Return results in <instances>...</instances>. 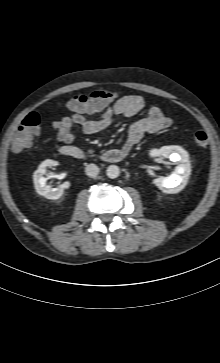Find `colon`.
<instances>
[{
    "mask_svg": "<svg viewBox=\"0 0 220 363\" xmlns=\"http://www.w3.org/2000/svg\"><path fill=\"white\" fill-rule=\"evenodd\" d=\"M119 97V93L112 90H99L89 95L77 94L69 101L72 109H80L88 98L96 100L100 105H107ZM42 122V116L37 112L29 113L20 123L17 132L12 140V149L22 151L33 143L34 138L38 135ZM194 141L197 146L205 147L208 144V135L203 131H198L194 135Z\"/></svg>",
    "mask_w": 220,
    "mask_h": 363,
    "instance_id": "obj_1",
    "label": "colon"
}]
</instances>
